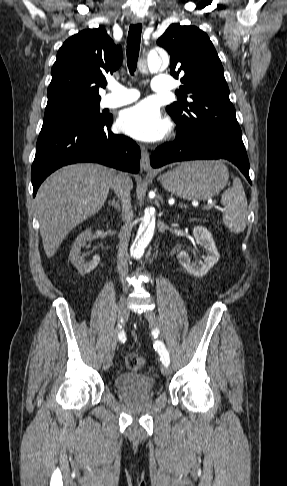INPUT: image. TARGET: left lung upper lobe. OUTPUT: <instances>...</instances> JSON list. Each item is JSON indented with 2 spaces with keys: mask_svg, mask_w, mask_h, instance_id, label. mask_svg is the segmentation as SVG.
<instances>
[{
  "mask_svg": "<svg viewBox=\"0 0 287 486\" xmlns=\"http://www.w3.org/2000/svg\"><path fill=\"white\" fill-rule=\"evenodd\" d=\"M157 44L170 54L171 75L182 76L178 102L166 107L177 128L242 140L224 69L208 35L196 26L174 23Z\"/></svg>",
  "mask_w": 287,
  "mask_h": 486,
  "instance_id": "5c2ea615",
  "label": "left lung upper lobe"
}]
</instances>
